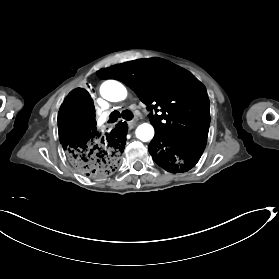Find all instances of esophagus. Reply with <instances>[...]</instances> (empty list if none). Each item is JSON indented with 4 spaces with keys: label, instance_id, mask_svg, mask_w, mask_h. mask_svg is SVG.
Masks as SVG:
<instances>
[{
    "label": "esophagus",
    "instance_id": "esophagus-1",
    "mask_svg": "<svg viewBox=\"0 0 279 279\" xmlns=\"http://www.w3.org/2000/svg\"><path fill=\"white\" fill-rule=\"evenodd\" d=\"M127 125H128V128L131 130V129H133V128L135 127L136 122H135V121H129V122L127 123Z\"/></svg>",
    "mask_w": 279,
    "mask_h": 279
}]
</instances>
